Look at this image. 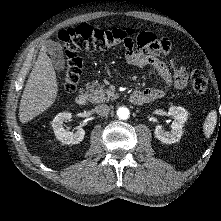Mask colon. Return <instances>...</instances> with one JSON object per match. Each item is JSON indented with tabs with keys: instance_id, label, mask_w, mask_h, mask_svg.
I'll list each match as a JSON object with an SVG mask.
<instances>
[{
	"instance_id": "5ec220e1",
	"label": "colon",
	"mask_w": 221,
	"mask_h": 221,
	"mask_svg": "<svg viewBox=\"0 0 221 221\" xmlns=\"http://www.w3.org/2000/svg\"><path fill=\"white\" fill-rule=\"evenodd\" d=\"M133 30H103L87 24L64 30L59 39L65 54V72L63 86L67 93H73L81 75L82 51H102L116 46L127 47L133 41ZM191 87L197 94L208 91L209 82L206 73L196 68L191 73Z\"/></svg>"
}]
</instances>
